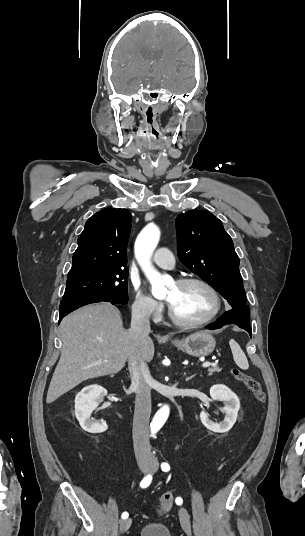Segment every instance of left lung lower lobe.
I'll list each match as a JSON object with an SVG mask.
<instances>
[{
  "label": "left lung lower lobe",
  "instance_id": "obj_1",
  "mask_svg": "<svg viewBox=\"0 0 305 536\" xmlns=\"http://www.w3.org/2000/svg\"><path fill=\"white\" fill-rule=\"evenodd\" d=\"M225 324H236L246 330L251 336V325L249 323V307L243 306L226 312L215 324L208 325L209 329H218Z\"/></svg>",
  "mask_w": 305,
  "mask_h": 536
}]
</instances>
